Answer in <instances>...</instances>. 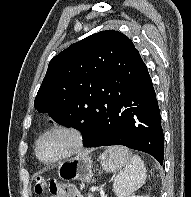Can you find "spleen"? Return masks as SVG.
Wrapping results in <instances>:
<instances>
[{"label": "spleen", "mask_w": 191, "mask_h": 197, "mask_svg": "<svg viewBox=\"0 0 191 197\" xmlns=\"http://www.w3.org/2000/svg\"><path fill=\"white\" fill-rule=\"evenodd\" d=\"M113 160L119 162L123 169L114 179V191L118 197H130L146 180V168L143 160L132 155L123 146L111 147L107 150Z\"/></svg>", "instance_id": "3e777b00"}]
</instances>
